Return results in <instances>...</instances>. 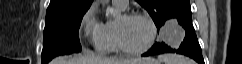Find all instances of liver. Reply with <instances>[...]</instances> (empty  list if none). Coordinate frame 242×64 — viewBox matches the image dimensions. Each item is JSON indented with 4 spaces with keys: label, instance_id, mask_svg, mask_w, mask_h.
Instances as JSON below:
<instances>
[{
    "label": "liver",
    "instance_id": "liver-1",
    "mask_svg": "<svg viewBox=\"0 0 242 64\" xmlns=\"http://www.w3.org/2000/svg\"><path fill=\"white\" fill-rule=\"evenodd\" d=\"M152 62L150 58L137 59H112L103 58L95 55L76 56V57H59L51 61V64H145Z\"/></svg>",
    "mask_w": 242,
    "mask_h": 64
}]
</instances>
